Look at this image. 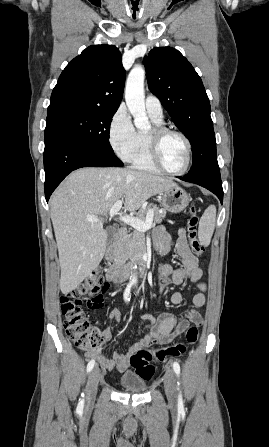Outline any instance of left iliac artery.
Segmentation results:
<instances>
[{
  "label": "left iliac artery",
  "instance_id": "obj_1",
  "mask_svg": "<svg viewBox=\"0 0 269 447\" xmlns=\"http://www.w3.org/2000/svg\"><path fill=\"white\" fill-rule=\"evenodd\" d=\"M173 369H174L175 373L179 376L180 365L177 362L173 363ZM178 385H179V382H178ZM178 407H183V400H182L181 392L179 393V396H178Z\"/></svg>",
  "mask_w": 269,
  "mask_h": 447
}]
</instances>
